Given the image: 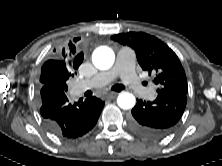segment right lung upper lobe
Wrapping results in <instances>:
<instances>
[{
    "label": "right lung upper lobe",
    "mask_w": 222,
    "mask_h": 166,
    "mask_svg": "<svg viewBox=\"0 0 222 166\" xmlns=\"http://www.w3.org/2000/svg\"><path fill=\"white\" fill-rule=\"evenodd\" d=\"M80 38H74L54 50L53 59L46 61L41 69L40 82L42 85L50 84L67 91V80L73 77L83 61V52L79 49Z\"/></svg>",
    "instance_id": "obj_1"
}]
</instances>
